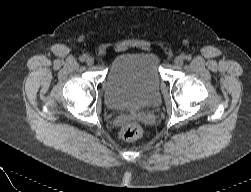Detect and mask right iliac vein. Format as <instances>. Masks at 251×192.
<instances>
[{
    "mask_svg": "<svg viewBox=\"0 0 251 192\" xmlns=\"http://www.w3.org/2000/svg\"><path fill=\"white\" fill-rule=\"evenodd\" d=\"M86 63H87L88 65H93V64H94V58H92V57H87V58H86Z\"/></svg>",
    "mask_w": 251,
    "mask_h": 192,
    "instance_id": "1",
    "label": "right iliac vein"
}]
</instances>
